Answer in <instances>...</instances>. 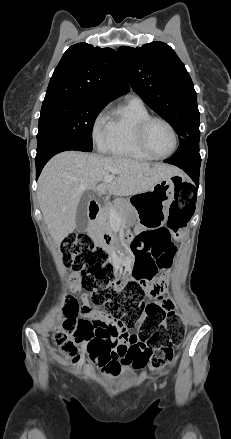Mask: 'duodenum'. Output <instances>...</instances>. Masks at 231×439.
<instances>
[{"mask_svg": "<svg viewBox=\"0 0 231 439\" xmlns=\"http://www.w3.org/2000/svg\"><path fill=\"white\" fill-rule=\"evenodd\" d=\"M98 209H99V206H98V204L95 201L90 202V204H89V216H90V220L92 222L96 221L97 214H98ZM110 240H111V235L110 234L106 233V234L103 235V243L105 245H108L110 243Z\"/></svg>", "mask_w": 231, "mask_h": 439, "instance_id": "obj_1", "label": "duodenum"}]
</instances>
